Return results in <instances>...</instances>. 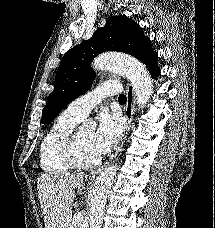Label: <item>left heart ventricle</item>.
Here are the masks:
<instances>
[{"instance_id":"b2bd125f","label":"left heart ventricle","mask_w":215,"mask_h":228,"mask_svg":"<svg viewBox=\"0 0 215 228\" xmlns=\"http://www.w3.org/2000/svg\"><path fill=\"white\" fill-rule=\"evenodd\" d=\"M94 136V130L80 128L78 133V153L84 161H94L99 156L96 154L92 140Z\"/></svg>"}]
</instances>
